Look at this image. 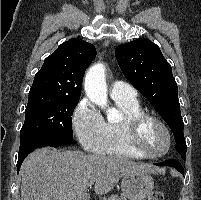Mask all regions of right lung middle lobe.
Returning <instances> with one entry per match:
<instances>
[{"instance_id": "1", "label": "right lung middle lobe", "mask_w": 201, "mask_h": 200, "mask_svg": "<svg viewBox=\"0 0 201 200\" xmlns=\"http://www.w3.org/2000/svg\"><path fill=\"white\" fill-rule=\"evenodd\" d=\"M79 99L49 93H29L20 135L43 131L73 138L71 116Z\"/></svg>"}]
</instances>
